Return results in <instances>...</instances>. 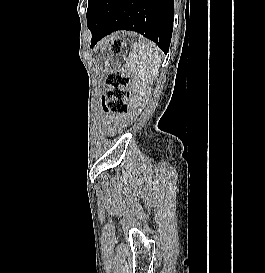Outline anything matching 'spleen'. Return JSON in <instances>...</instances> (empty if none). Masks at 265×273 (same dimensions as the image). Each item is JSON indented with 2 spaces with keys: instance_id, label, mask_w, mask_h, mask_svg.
<instances>
[{
  "instance_id": "spleen-1",
  "label": "spleen",
  "mask_w": 265,
  "mask_h": 273,
  "mask_svg": "<svg viewBox=\"0 0 265 273\" xmlns=\"http://www.w3.org/2000/svg\"><path fill=\"white\" fill-rule=\"evenodd\" d=\"M131 71L147 83H152L158 74L160 52L156 45L146 39H140L134 45L130 57Z\"/></svg>"
}]
</instances>
